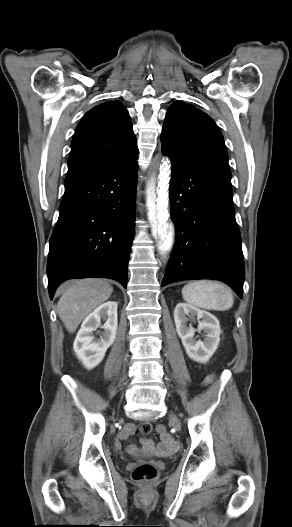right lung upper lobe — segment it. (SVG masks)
Listing matches in <instances>:
<instances>
[{
    "label": "right lung upper lobe",
    "mask_w": 292,
    "mask_h": 527,
    "mask_svg": "<svg viewBox=\"0 0 292 527\" xmlns=\"http://www.w3.org/2000/svg\"><path fill=\"white\" fill-rule=\"evenodd\" d=\"M138 152L127 110L118 101L92 108L78 124L68 167L114 162Z\"/></svg>",
    "instance_id": "right-lung-upper-lobe-1"
}]
</instances>
